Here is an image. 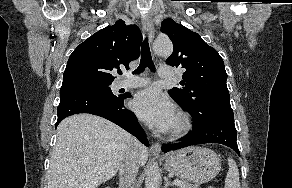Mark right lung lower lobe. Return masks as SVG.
Here are the masks:
<instances>
[{"instance_id":"98d812e1","label":"right lung lower lobe","mask_w":292,"mask_h":188,"mask_svg":"<svg viewBox=\"0 0 292 188\" xmlns=\"http://www.w3.org/2000/svg\"><path fill=\"white\" fill-rule=\"evenodd\" d=\"M129 96L122 94L109 98L81 86L61 87L56 127L64 118L70 115L90 113L119 125L134 135L141 143L148 146L146 135L135 114L124 106V100Z\"/></svg>"}]
</instances>
